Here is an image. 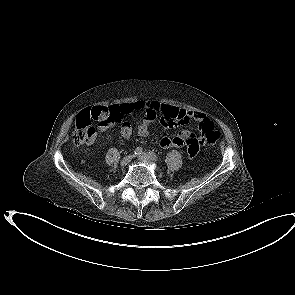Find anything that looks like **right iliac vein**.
<instances>
[{"label": "right iliac vein", "mask_w": 295, "mask_h": 295, "mask_svg": "<svg viewBox=\"0 0 295 295\" xmlns=\"http://www.w3.org/2000/svg\"><path fill=\"white\" fill-rule=\"evenodd\" d=\"M132 159H133V155H127L121 160L120 165L126 166L127 164L131 162Z\"/></svg>", "instance_id": "63e3f726"}]
</instances>
